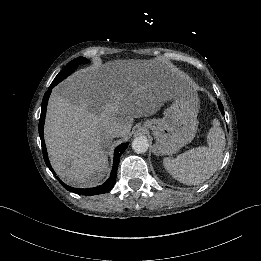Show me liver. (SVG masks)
Masks as SVG:
<instances>
[{
    "mask_svg": "<svg viewBox=\"0 0 261 261\" xmlns=\"http://www.w3.org/2000/svg\"><path fill=\"white\" fill-rule=\"evenodd\" d=\"M186 86V76L145 64L77 71L53 90L47 108L45 140L56 172L73 186L97 185L109 171L108 128L120 124L126 138L134 118L156 114Z\"/></svg>",
    "mask_w": 261,
    "mask_h": 261,
    "instance_id": "liver-1",
    "label": "liver"
}]
</instances>
